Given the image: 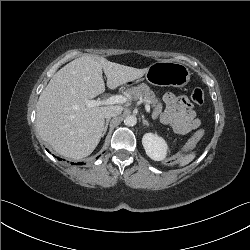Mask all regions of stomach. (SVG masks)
I'll return each instance as SVG.
<instances>
[{
    "label": "stomach",
    "mask_w": 250,
    "mask_h": 250,
    "mask_svg": "<svg viewBox=\"0 0 250 250\" xmlns=\"http://www.w3.org/2000/svg\"><path fill=\"white\" fill-rule=\"evenodd\" d=\"M146 79L158 86L184 87L190 80V71L182 64L172 61H159L148 67ZM135 81H130L132 85Z\"/></svg>",
    "instance_id": "0dacf381"
}]
</instances>
